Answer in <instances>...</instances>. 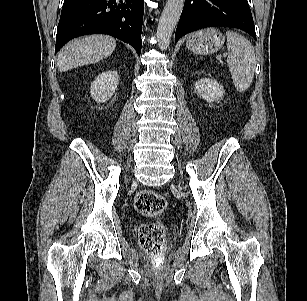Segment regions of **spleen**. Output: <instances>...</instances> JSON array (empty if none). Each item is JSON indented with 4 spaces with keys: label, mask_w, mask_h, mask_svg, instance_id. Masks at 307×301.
<instances>
[{
    "label": "spleen",
    "mask_w": 307,
    "mask_h": 301,
    "mask_svg": "<svg viewBox=\"0 0 307 301\" xmlns=\"http://www.w3.org/2000/svg\"><path fill=\"white\" fill-rule=\"evenodd\" d=\"M227 64L231 72L235 88L239 92L246 91L252 83L255 72V51L250 41L243 35L227 31Z\"/></svg>",
    "instance_id": "spleen-1"
}]
</instances>
